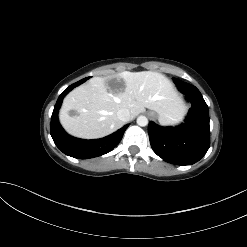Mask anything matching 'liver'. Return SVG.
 Returning a JSON list of instances; mask_svg holds the SVG:
<instances>
[{
  "mask_svg": "<svg viewBox=\"0 0 247 247\" xmlns=\"http://www.w3.org/2000/svg\"><path fill=\"white\" fill-rule=\"evenodd\" d=\"M111 81L118 86L112 87ZM145 108L157 112L162 124L178 123L186 112L173 84L161 73L124 71L114 76L93 77L75 88L65 97L59 119L69 134L96 139L123 126L124 122L117 117L120 109H128L133 119ZM70 110L77 115L70 116Z\"/></svg>",
  "mask_w": 247,
  "mask_h": 247,
  "instance_id": "obj_1",
  "label": "liver"
}]
</instances>
